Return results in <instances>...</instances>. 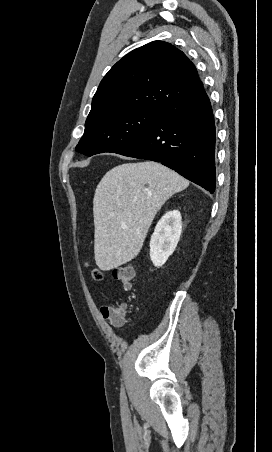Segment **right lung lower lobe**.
Instances as JSON below:
<instances>
[{
    "label": "right lung lower lobe",
    "mask_w": 272,
    "mask_h": 452,
    "mask_svg": "<svg viewBox=\"0 0 272 452\" xmlns=\"http://www.w3.org/2000/svg\"><path fill=\"white\" fill-rule=\"evenodd\" d=\"M215 141L212 107L202 87L175 109L162 113L118 154L160 162L214 193Z\"/></svg>",
    "instance_id": "right-lung-lower-lobe-1"
}]
</instances>
